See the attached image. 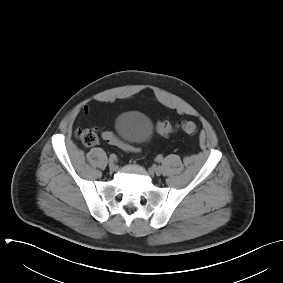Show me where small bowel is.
Masks as SVG:
<instances>
[{
  "mask_svg": "<svg viewBox=\"0 0 283 283\" xmlns=\"http://www.w3.org/2000/svg\"><path fill=\"white\" fill-rule=\"evenodd\" d=\"M85 112H86V113L88 112V108H87V107H85Z\"/></svg>",
  "mask_w": 283,
  "mask_h": 283,
  "instance_id": "obj_1",
  "label": "small bowel"
}]
</instances>
